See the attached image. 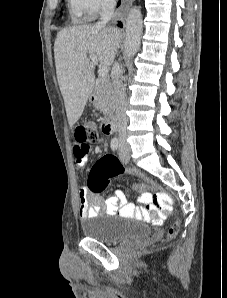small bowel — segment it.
<instances>
[{
  "instance_id": "small-bowel-1",
  "label": "small bowel",
  "mask_w": 227,
  "mask_h": 298,
  "mask_svg": "<svg viewBox=\"0 0 227 298\" xmlns=\"http://www.w3.org/2000/svg\"><path fill=\"white\" fill-rule=\"evenodd\" d=\"M72 146L74 151L72 158H75L76 168L81 170L86 165L88 151L92 150L93 142H79L78 139H73ZM143 180L148 179L143 178ZM78 196L81 219L92 218L99 214H108L150 220L152 213L164 218V214L154 208V192L151 190L142 191V195L137 200V205L128 203L124 192L119 189L106 200L100 194L91 192L87 187L79 188ZM168 211H171V207H168Z\"/></svg>"
}]
</instances>
